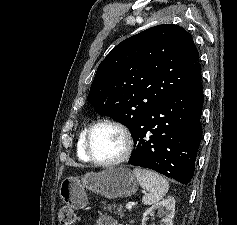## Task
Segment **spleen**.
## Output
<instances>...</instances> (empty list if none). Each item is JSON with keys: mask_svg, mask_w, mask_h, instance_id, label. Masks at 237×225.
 Instances as JSON below:
<instances>
[{"mask_svg": "<svg viewBox=\"0 0 237 225\" xmlns=\"http://www.w3.org/2000/svg\"><path fill=\"white\" fill-rule=\"evenodd\" d=\"M140 186L148 191L142 198L145 205L160 201L169 190V182L163 176L151 170L135 168L133 170Z\"/></svg>", "mask_w": 237, "mask_h": 225, "instance_id": "1", "label": "spleen"}]
</instances>
